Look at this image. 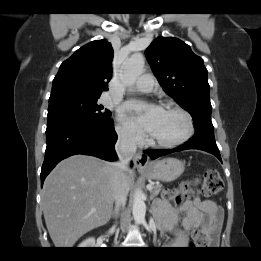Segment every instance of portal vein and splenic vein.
Wrapping results in <instances>:
<instances>
[{
  "instance_id": "18ae733b",
  "label": "portal vein and splenic vein",
  "mask_w": 261,
  "mask_h": 261,
  "mask_svg": "<svg viewBox=\"0 0 261 261\" xmlns=\"http://www.w3.org/2000/svg\"><path fill=\"white\" fill-rule=\"evenodd\" d=\"M147 189H148V190H152V189H153V186L149 184V185H147Z\"/></svg>"
}]
</instances>
